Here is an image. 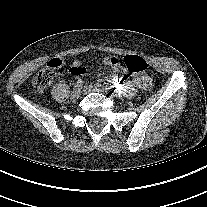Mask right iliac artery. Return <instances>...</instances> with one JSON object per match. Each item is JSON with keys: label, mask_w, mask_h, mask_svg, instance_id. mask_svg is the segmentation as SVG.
Here are the masks:
<instances>
[{"label": "right iliac artery", "mask_w": 207, "mask_h": 207, "mask_svg": "<svg viewBox=\"0 0 207 207\" xmlns=\"http://www.w3.org/2000/svg\"><path fill=\"white\" fill-rule=\"evenodd\" d=\"M83 86V81L78 80L75 84H74V88L76 89H80Z\"/></svg>", "instance_id": "obj_1"}]
</instances>
